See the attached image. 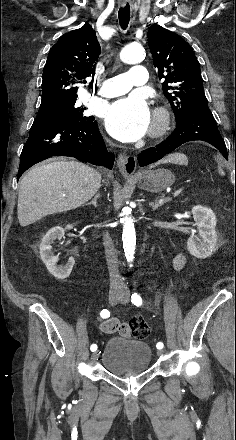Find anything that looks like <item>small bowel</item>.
I'll list each match as a JSON object with an SVG mask.
<instances>
[{
    "mask_svg": "<svg viewBox=\"0 0 236 440\" xmlns=\"http://www.w3.org/2000/svg\"><path fill=\"white\" fill-rule=\"evenodd\" d=\"M187 263L186 256L182 253H178L173 260V265L176 270L184 269ZM103 333H118V338L128 342L131 339L132 333L130 321H119L116 318L106 320L100 324Z\"/></svg>",
    "mask_w": 236,
    "mask_h": 440,
    "instance_id": "small-bowel-1",
    "label": "small bowel"
}]
</instances>
